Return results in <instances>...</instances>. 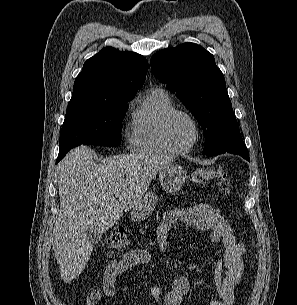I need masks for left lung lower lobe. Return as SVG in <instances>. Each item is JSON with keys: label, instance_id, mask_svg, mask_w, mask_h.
<instances>
[{"label": "left lung lower lobe", "instance_id": "left-lung-lower-lobe-1", "mask_svg": "<svg viewBox=\"0 0 297 305\" xmlns=\"http://www.w3.org/2000/svg\"><path fill=\"white\" fill-rule=\"evenodd\" d=\"M237 155H240V156H242L244 159L250 161L249 153H248V152H246V153H238Z\"/></svg>", "mask_w": 297, "mask_h": 305}]
</instances>
